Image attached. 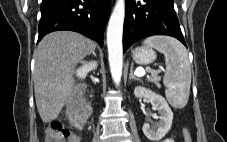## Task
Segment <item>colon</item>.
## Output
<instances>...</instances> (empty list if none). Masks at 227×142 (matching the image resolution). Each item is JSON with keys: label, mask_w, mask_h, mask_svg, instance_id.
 <instances>
[{"label": "colon", "mask_w": 227, "mask_h": 142, "mask_svg": "<svg viewBox=\"0 0 227 142\" xmlns=\"http://www.w3.org/2000/svg\"><path fill=\"white\" fill-rule=\"evenodd\" d=\"M87 112L82 109H75L70 113L71 125H67L62 120H54L50 123L45 142H75L72 134V126L82 127L86 121ZM185 142H192L191 133L188 129H184Z\"/></svg>", "instance_id": "colon-1"}]
</instances>
